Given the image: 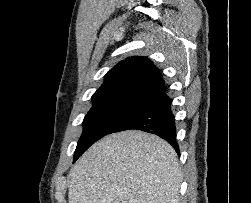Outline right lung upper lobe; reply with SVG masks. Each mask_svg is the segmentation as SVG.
Masks as SVG:
<instances>
[{"instance_id": "right-lung-upper-lobe-1", "label": "right lung upper lobe", "mask_w": 251, "mask_h": 203, "mask_svg": "<svg viewBox=\"0 0 251 203\" xmlns=\"http://www.w3.org/2000/svg\"><path fill=\"white\" fill-rule=\"evenodd\" d=\"M169 97L159 69L145 57H129L105 76L103 85L93 94V106H130L141 110L156 106Z\"/></svg>"}]
</instances>
